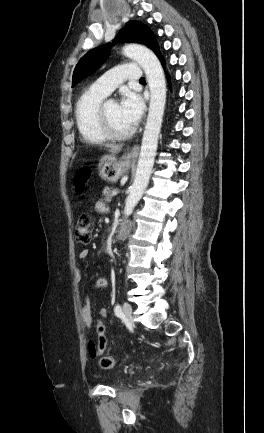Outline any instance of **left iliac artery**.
Instances as JSON below:
<instances>
[{
	"label": "left iliac artery",
	"mask_w": 264,
	"mask_h": 433,
	"mask_svg": "<svg viewBox=\"0 0 264 433\" xmlns=\"http://www.w3.org/2000/svg\"><path fill=\"white\" fill-rule=\"evenodd\" d=\"M115 315L117 317H121L123 315L122 309L120 305H116L114 308Z\"/></svg>",
	"instance_id": "1"
}]
</instances>
